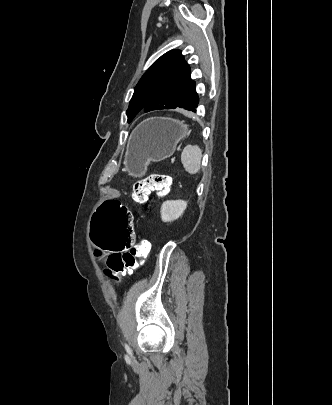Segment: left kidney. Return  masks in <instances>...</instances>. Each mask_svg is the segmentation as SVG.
<instances>
[{
  "label": "left kidney",
  "mask_w": 332,
  "mask_h": 405,
  "mask_svg": "<svg viewBox=\"0 0 332 405\" xmlns=\"http://www.w3.org/2000/svg\"><path fill=\"white\" fill-rule=\"evenodd\" d=\"M187 208V202L183 200H168L161 206V219L163 222H171L182 216Z\"/></svg>",
  "instance_id": "5707ae66"
}]
</instances>
